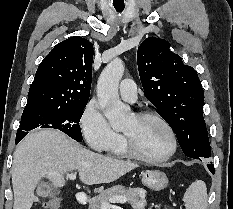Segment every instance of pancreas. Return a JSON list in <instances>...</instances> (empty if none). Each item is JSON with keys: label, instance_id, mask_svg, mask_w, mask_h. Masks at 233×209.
<instances>
[{"label": "pancreas", "instance_id": "pancreas-1", "mask_svg": "<svg viewBox=\"0 0 233 209\" xmlns=\"http://www.w3.org/2000/svg\"><path fill=\"white\" fill-rule=\"evenodd\" d=\"M140 193H144V191L138 188H125L122 185L112 186L100 191L99 195L90 199L89 209H102V203L108 201L111 197H125L133 209H145L146 200L141 198Z\"/></svg>", "mask_w": 233, "mask_h": 209}]
</instances>
